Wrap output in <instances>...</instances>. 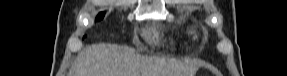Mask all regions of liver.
Here are the masks:
<instances>
[{
    "label": "liver",
    "mask_w": 287,
    "mask_h": 76,
    "mask_svg": "<svg viewBox=\"0 0 287 76\" xmlns=\"http://www.w3.org/2000/svg\"><path fill=\"white\" fill-rule=\"evenodd\" d=\"M197 67L172 59L143 57L116 44H92L73 64V76H194Z\"/></svg>",
    "instance_id": "6515ba94"
}]
</instances>
